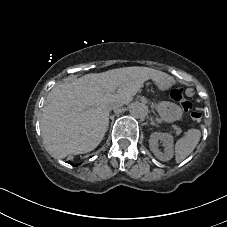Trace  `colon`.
<instances>
[{
	"instance_id": "5ec220e1",
	"label": "colon",
	"mask_w": 227,
	"mask_h": 227,
	"mask_svg": "<svg viewBox=\"0 0 227 227\" xmlns=\"http://www.w3.org/2000/svg\"><path fill=\"white\" fill-rule=\"evenodd\" d=\"M171 96L180 104L181 108L190 115L193 121H201L203 116L201 110L192 109L191 103L185 98V92L182 87L174 85L171 90Z\"/></svg>"
}]
</instances>
